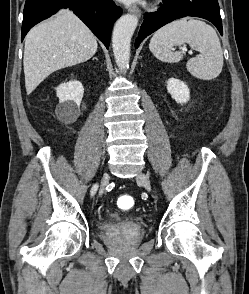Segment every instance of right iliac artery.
Listing matches in <instances>:
<instances>
[{
  "mask_svg": "<svg viewBox=\"0 0 249 294\" xmlns=\"http://www.w3.org/2000/svg\"><path fill=\"white\" fill-rule=\"evenodd\" d=\"M97 188H98V185L95 184V185L93 186L92 190H91V195H94V194H95V192L97 191Z\"/></svg>",
  "mask_w": 249,
  "mask_h": 294,
  "instance_id": "obj_1",
  "label": "right iliac artery"
}]
</instances>
